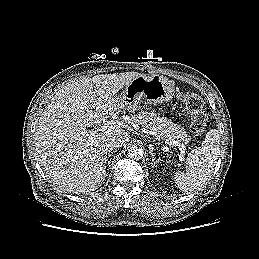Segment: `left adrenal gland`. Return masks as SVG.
<instances>
[{"instance_id": "obj_1", "label": "left adrenal gland", "mask_w": 259, "mask_h": 259, "mask_svg": "<svg viewBox=\"0 0 259 259\" xmlns=\"http://www.w3.org/2000/svg\"><path fill=\"white\" fill-rule=\"evenodd\" d=\"M151 156H152V165L154 166L155 164H157L161 159H156L155 158V153H153L152 151L150 152Z\"/></svg>"}]
</instances>
